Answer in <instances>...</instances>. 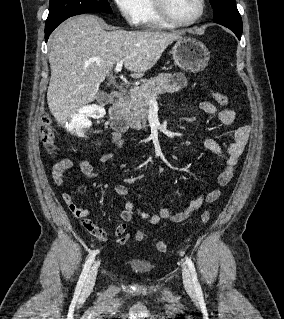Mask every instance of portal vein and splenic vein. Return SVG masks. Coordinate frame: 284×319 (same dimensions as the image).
Segmentation results:
<instances>
[{"mask_svg": "<svg viewBox=\"0 0 284 319\" xmlns=\"http://www.w3.org/2000/svg\"><path fill=\"white\" fill-rule=\"evenodd\" d=\"M123 61L124 60H120V61L117 62L116 67H115V72H120L121 71L122 66H123ZM154 102H156V98L151 97L150 103H154Z\"/></svg>", "mask_w": 284, "mask_h": 319, "instance_id": "portal-vein-and-splenic-vein-1", "label": "portal vein and splenic vein"}]
</instances>
